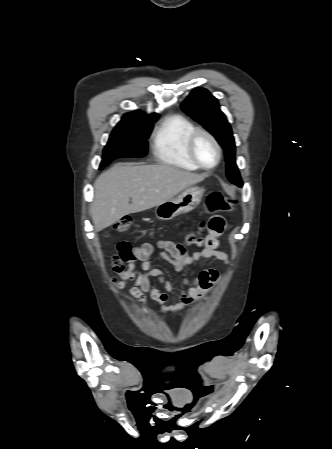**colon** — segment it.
I'll list each match as a JSON object with an SVG mask.
<instances>
[{"instance_id": "obj_1", "label": "colon", "mask_w": 332, "mask_h": 449, "mask_svg": "<svg viewBox=\"0 0 332 449\" xmlns=\"http://www.w3.org/2000/svg\"><path fill=\"white\" fill-rule=\"evenodd\" d=\"M237 202L236 197L224 195L223 193L216 191L208 195L206 199V210L209 213H228L230 212ZM132 225L129 219L119 220L114 230L117 233L127 232ZM187 242L194 244L197 239L194 235L189 234L187 236ZM136 259L131 244L127 241H121L117 246V252L113 255V266L120 267L126 263H131Z\"/></svg>"}]
</instances>
